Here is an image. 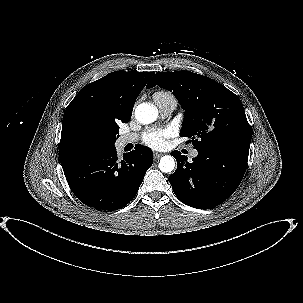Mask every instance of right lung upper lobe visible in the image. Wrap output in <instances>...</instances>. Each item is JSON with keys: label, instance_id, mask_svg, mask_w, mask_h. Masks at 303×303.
Returning a JSON list of instances; mask_svg holds the SVG:
<instances>
[{"label": "right lung upper lobe", "instance_id": "right-lung-upper-lobe-1", "mask_svg": "<svg viewBox=\"0 0 303 303\" xmlns=\"http://www.w3.org/2000/svg\"><path fill=\"white\" fill-rule=\"evenodd\" d=\"M154 72L116 71L86 85L65 110L59 157L62 166L90 154L76 137L78 126L91 122L105 130H119L127 123L134 103Z\"/></svg>", "mask_w": 303, "mask_h": 303}]
</instances>
